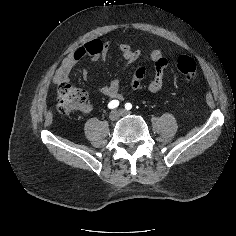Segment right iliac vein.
Segmentation results:
<instances>
[{"instance_id": "63e3f726", "label": "right iliac vein", "mask_w": 236, "mask_h": 236, "mask_svg": "<svg viewBox=\"0 0 236 236\" xmlns=\"http://www.w3.org/2000/svg\"><path fill=\"white\" fill-rule=\"evenodd\" d=\"M118 118H119V112L116 111V110L112 111V112L110 113V115H109V119H110L112 122L116 121Z\"/></svg>"}]
</instances>
